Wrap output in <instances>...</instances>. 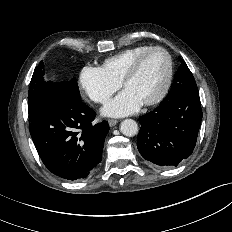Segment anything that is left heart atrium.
Here are the masks:
<instances>
[{
	"label": "left heart atrium",
	"mask_w": 232,
	"mask_h": 232,
	"mask_svg": "<svg viewBox=\"0 0 232 232\" xmlns=\"http://www.w3.org/2000/svg\"><path fill=\"white\" fill-rule=\"evenodd\" d=\"M142 102L128 90H124L117 97L108 102L102 109L106 116L122 117L139 110Z\"/></svg>",
	"instance_id": "39dd6f15"
}]
</instances>
